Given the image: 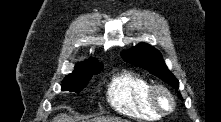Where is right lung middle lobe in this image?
Wrapping results in <instances>:
<instances>
[{
	"mask_svg": "<svg viewBox=\"0 0 221 122\" xmlns=\"http://www.w3.org/2000/svg\"><path fill=\"white\" fill-rule=\"evenodd\" d=\"M101 69L102 67L89 73L66 76L63 80L61 90L79 93L87 85L92 75L99 73Z\"/></svg>",
	"mask_w": 221,
	"mask_h": 122,
	"instance_id": "obj_1",
	"label": "right lung middle lobe"
}]
</instances>
